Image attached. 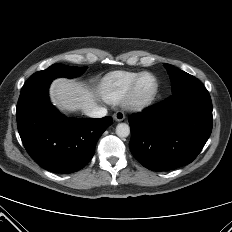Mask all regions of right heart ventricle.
Returning <instances> with one entry per match:
<instances>
[{"mask_svg":"<svg viewBox=\"0 0 232 232\" xmlns=\"http://www.w3.org/2000/svg\"><path fill=\"white\" fill-rule=\"evenodd\" d=\"M140 74L128 71H115L107 74L100 84L102 97L111 104L123 102L135 79Z\"/></svg>","mask_w":232,"mask_h":232,"instance_id":"1","label":"right heart ventricle"}]
</instances>
